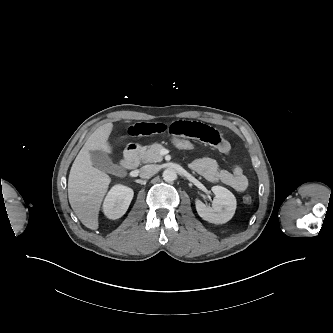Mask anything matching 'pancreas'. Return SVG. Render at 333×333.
Segmentation results:
<instances>
[{
    "label": "pancreas",
    "mask_w": 333,
    "mask_h": 333,
    "mask_svg": "<svg viewBox=\"0 0 333 333\" xmlns=\"http://www.w3.org/2000/svg\"><path fill=\"white\" fill-rule=\"evenodd\" d=\"M163 145L154 143L149 146L142 147L139 151L140 159L143 163H157L163 160L160 151L163 149Z\"/></svg>",
    "instance_id": "1"
}]
</instances>
